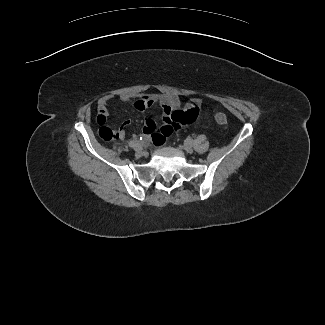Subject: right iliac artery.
Masks as SVG:
<instances>
[{
	"label": "right iliac artery",
	"instance_id": "right-iliac-artery-1",
	"mask_svg": "<svg viewBox=\"0 0 325 325\" xmlns=\"http://www.w3.org/2000/svg\"><path fill=\"white\" fill-rule=\"evenodd\" d=\"M129 146H130L131 148L136 149V148L138 147V144H137L135 141H130V142H129Z\"/></svg>",
	"mask_w": 325,
	"mask_h": 325
}]
</instances>
